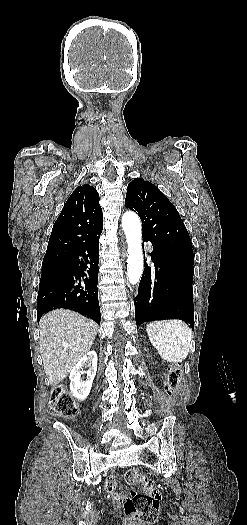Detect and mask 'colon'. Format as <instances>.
Returning <instances> with one entry per match:
<instances>
[{
	"mask_svg": "<svg viewBox=\"0 0 247 525\" xmlns=\"http://www.w3.org/2000/svg\"><path fill=\"white\" fill-rule=\"evenodd\" d=\"M183 366L180 363H172L166 376V388L170 394H175L181 384ZM49 412L63 418L74 417L78 413V407L62 383L56 384L51 393ZM127 484L136 485L123 500L125 514L141 522L153 524L159 516V501L161 498L158 484L151 479L143 478L136 471L125 473Z\"/></svg>",
	"mask_w": 247,
	"mask_h": 525,
	"instance_id": "5ec220e1",
	"label": "colon"
}]
</instances>
